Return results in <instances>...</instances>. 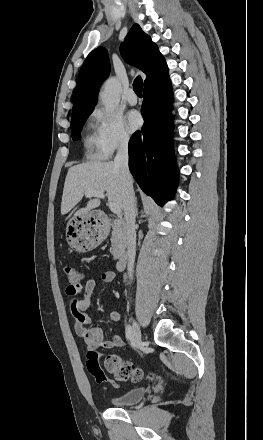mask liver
I'll return each instance as SVG.
<instances>
[{
  "label": "liver",
  "instance_id": "1",
  "mask_svg": "<svg viewBox=\"0 0 263 440\" xmlns=\"http://www.w3.org/2000/svg\"><path fill=\"white\" fill-rule=\"evenodd\" d=\"M89 191L106 192L109 201L116 202L123 208L120 170L113 162L92 161L70 167L64 183L61 214L70 212ZM99 205V199H90L74 216L86 214Z\"/></svg>",
  "mask_w": 263,
  "mask_h": 440
}]
</instances>
